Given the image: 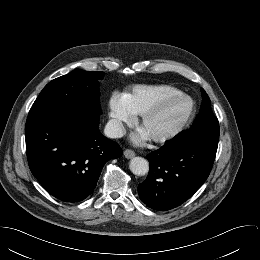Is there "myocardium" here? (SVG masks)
I'll list each match as a JSON object with an SVG mask.
<instances>
[{"instance_id":"f54148a6","label":"myocardium","mask_w":260,"mask_h":260,"mask_svg":"<svg viewBox=\"0 0 260 260\" xmlns=\"http://www.w3.org/2000/svg\"><path fill=\"white\" fill-rule=\"evenodd\" d=\"M175 99H184L188 102V108L184 115V117L171 129L160 133L151 135L150 138L152 141L156 143H165L167 141L172 140L173 138L177 137L179 134H181L184 129L188 126L190 121L192 120L195 111H196V104L195 101L191 96L188 94H185L183 92H178L172 95H169L167 97H164L157 101L155 104H153L150 108L145 110L141 114L140 118V126L143 127L145 123L155 114H157L162 107H164L166 104L170 103L171 101Z\"/></svg>"}]
</instances>
